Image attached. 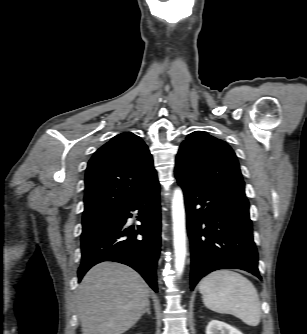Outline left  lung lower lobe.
<instances>
[{
    "label": "left lung lower lobe",
    "mask_w": 307,
    "mask_h": 334,
    "mask_svg": "<svg viewBox=\"0 0 307 334\" xmlns=\"http://www.w3.org/2000/svg\"><path fill=\"white\" fill-rule=\"evenodd\" d=\"M176 178L184 192L191 241V289L218 269H242L261 279L245 195Z\"/></svg>",
    "instance_id": "0a47b994"
}]
</instances>
